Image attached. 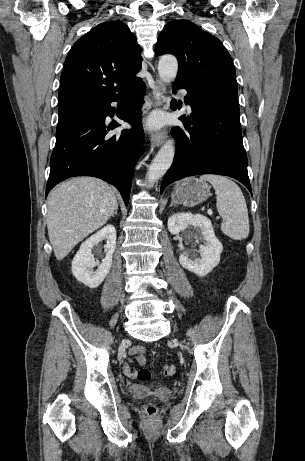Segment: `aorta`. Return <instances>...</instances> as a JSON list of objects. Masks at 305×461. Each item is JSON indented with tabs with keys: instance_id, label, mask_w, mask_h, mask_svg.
<instances>
[{
	"instance_id": "obj_1",
	"label": "aorta",
	"mask_w": 305,
	"mask_h": 461,
	"mask_svg": "<svg viewBox=\"0 0 305 461\" xmlns=\"http://www.w3.org/2000/svg\"><path fill=\"white\" fill-rule=\"evenodd\" d=\"M178 71L177 59L172 55H164L158 62V73L160 78L165 83L174 81ZM175 154L173 140H168L158 151L153 159L148 172L147 179L149 183H153L160 179L170 168Z\"/></svg>"
}]
</instances>
